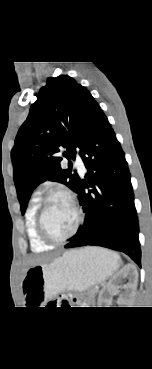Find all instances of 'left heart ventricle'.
Segmentation results:
<instances>
[{
  "instance_id": "obj_1",
  "label": "left heart ventricle",
  "mask_w": 152,
  "mask_h": 369,
  "mask_svg": "<svg viewBox=\"0 0 152 369\" xmlns=\"http://www.w3.org/2000/svg\"><path fill=\"white\" fill-rule=\"evenodd\" d=\"M76 223L73 206L64 197H54L48 203L45 213V225L48 232L55 238L68 235Z\"/></svg>"
}]
</instances>
